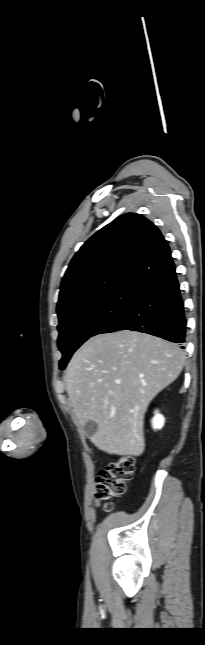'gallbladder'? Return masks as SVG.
<instances>
[{
  "mask_svg": "<svg viewBox=\"0 0 205 645\" xmlns=\"http://www.w3.org/2000/svg\"><path fill=\"white\" fill-rule=\"evenodd\" d=\"M97 428H98V426H97V423L95 421H88L84 425V432H85L86 437H88V438L91 437L97 431Z\"/></svg>",
  "mask_w": 205,
  "mask_h": 645,
  "instance_id": "gallbladder-1",
  "label": "gallbladder"
}]
</instances>
